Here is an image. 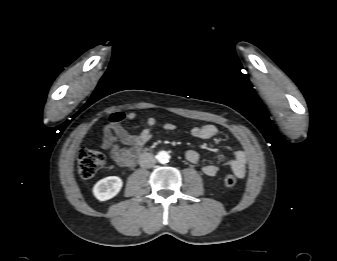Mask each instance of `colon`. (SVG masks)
Returning a JSON list of instances; mask_svg holds the SVG:
<instances>
[{"mask_svg": "<svg viewBox=\"0 0 337 261\" xmlns=\"http://www.w3.org/2000/svg\"><path fill=\"white\" fill-rule=\"evenodd\" d=\"M77 165L80 177L89 179L103 168L104 157L99 151L82 148L77 156ZM223 181L227 187H234L237 183L235 176L231 173H227Z\"/></svg>", "mask_w": 337, "mask_h": 261, "instance_id": "5ec220e1", "label": "colon"}]
</instances>
